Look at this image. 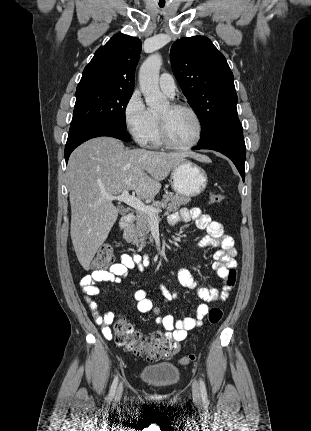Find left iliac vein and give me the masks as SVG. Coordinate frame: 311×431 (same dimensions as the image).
<instances>
[{"label":"left iliac vein","instance_id":"obj_1","mask_svg":"<svg viewBox=\"0 0 311 431\" xmlns=\"http://www.w3.org/2000/svg\"><path fill=\"white\" fill-rule=\"evenodd\" d=\"M192 392L195 399H200V391L197 382H194L192 385Z\"/></svg>","mask_w":311,"mask_h":431}]
</instances>
